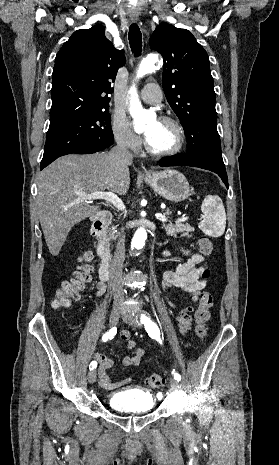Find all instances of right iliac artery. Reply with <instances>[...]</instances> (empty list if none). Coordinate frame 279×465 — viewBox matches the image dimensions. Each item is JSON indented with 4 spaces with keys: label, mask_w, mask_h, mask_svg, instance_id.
<instances>
[{
    "label": "right iliac artery",
    "mask_w": 279,
    "mask_h": 465,
    "mask_svg": "<svg viewBox=\"0 0 279 465\" xmlns=\"http://www.w3.org/2000/svg\"><path fill=\"white\" fill-rule=\"evenodd\" d=\"M116 332H117V328H116V327H113L112 329H110L108 332H106V333L103 335L102 340H103L104 342H106L107 340L112 339L113 336H115ZM96 367H97V362L92 361V363H91L90 366H89L90 370H92V369H94V368H96Z\"/></svg>",
    "instance_id": "1"
}]
</instances>
